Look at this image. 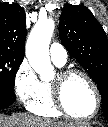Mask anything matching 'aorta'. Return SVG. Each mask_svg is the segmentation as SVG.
I'll use <instances>...</instances> for the list:
<instances>
[{"label":"aorta","mask_w":108,"mask_h":127,"mask_svg":"<svg viewBox=\"0 0 108 127\" xmlns=\"http://www.w3.org/2000/svg\"><path fill=\"white\" fill-rule=\"evenodd\" d=\"M55 28L51 18L39 20L31 30L26 43V56L42 81L53 78L54 67L49 56V44Z\"/></svg>","instance_id":"aorta-1"}]
</instances>
